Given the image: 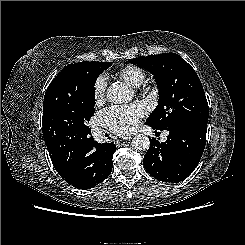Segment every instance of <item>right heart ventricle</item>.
I'll list each match as a JSON object with an SVG mask.
<instances>
[{"mask_svg":"<svg viewBox=\"0 0 245 245\" xmlns=\"http://www.w3.org/2000/svg\"><path fill=\"white\" fill-rule=\"evenodd\" d=\"M116 75L130 86L138 87L145 80L144 70L136 65H127L116 72Z\"/></svg>","mask_w":245,"mask_h":245,"instance_id":"obj_1","label":"right heart ventricle"}]
</instances>
